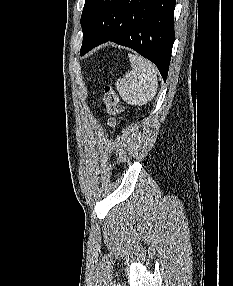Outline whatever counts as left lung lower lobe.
Returning <instances> with one entry per match:
<instances>
[{"label":"left lung lower lobe","mask_w":233,"mask_h":286,"mask_svg":"<svg viewBox=\"0 0 233 286\" xmlns=\"http://www.w3.org/2000/svg\"><path fill=\"white\" fill-rule=\"evenodd\" d=\"M176 0H95L83 27L80 55L107 41L151 60L167 79Z\"/></svg>","instance_id":"obj_1"}]
</instances>
